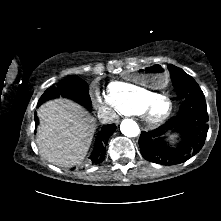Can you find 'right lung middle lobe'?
<instances>
[{
  "label": "right lung middle lobe",
  "mask_w": 221,
  "mask_h": 221,
  "mask_svg": "<svg viewBox=\"0 0 221 221\" xmlns=\"http://www.w3.org/2000/svg\"><path fill=\"white\" fill-rule=\"evenodd\" d=\"M60 94L74 99L86 107L91 104L87 83L79 77L70 76L69 78L62 80L57 88L49 87L39 99L38 105L49 99L56 98Z\"/></svg>",
  "instance_id": "obj_1"
}]
</instances>
